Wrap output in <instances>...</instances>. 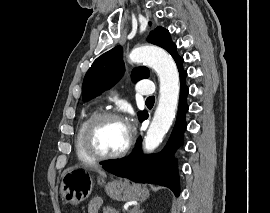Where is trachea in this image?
Returning <instances> with one entry per match:
<instances>
[{"instance_id": "obj_1", "label": "trachea", "mask_w": 270, "mask_h": 213, "mask_svg": "<svg viewBox=\"0 0 270 213\" xmlns=\"http://www.w3.org/2000/svg\"><path fill=\"white\" fill-rule=\"evenodd\" d=\"M154 101H155L154 96L148 97L146 100V102H154Z\"/></svg>"}]
</instances>
